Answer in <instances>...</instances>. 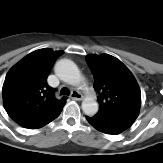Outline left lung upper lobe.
I'll list each match as a JSON object with an SVG mask.
<instances>
[{
    "label": "left lung upper lobe",
    "instance_id": "5c2ea615",
    "mask_svg": "<svg viewBox=\"0 0 163 163\" xmlns=\"http://www.w3.org/2000/svg\"><path fill=\"white\" fill-rule=\"evenodd\" d=\"M86 62L94 75L99 111L96 115L135 120L141 106L139 86L130 70L117 58L88 55Z\"/></svg>",
    "mask_w": 163,
    "mask_h": 163
}]
</instances>
